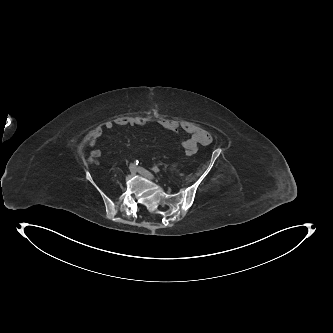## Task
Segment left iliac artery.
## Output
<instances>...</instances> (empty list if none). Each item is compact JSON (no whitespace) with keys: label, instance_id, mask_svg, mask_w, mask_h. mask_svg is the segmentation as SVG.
Wrapping results in <instances>:
<instances>
[{"label":"left iliac artery","instance_id":"1","mask_svg":"<svg viewBox=\"0 0 333 333\" xmlns=\"http://www.w3.org/2000/svg\"><path fill=\"white\" fill-rule=\"evenodd\" d=\"M152 170H153L155 173L160 172V169H159L157 166H153V167H152Z\"/></svg>","mask_w":333,"mask_h":333}]
</instances>
